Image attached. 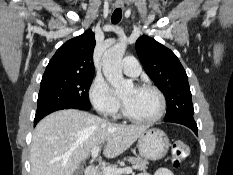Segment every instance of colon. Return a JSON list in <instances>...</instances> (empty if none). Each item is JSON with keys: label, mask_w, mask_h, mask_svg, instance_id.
Masks as SVG:
<instances>
[{"label": "colon", "mask_w": 233, "mask_h": 175, "mask_svg": "<svg viewBox=\"0 0 233 175\" xmlns=\"http://www.w3.org/2000/svg\"><path fill=\"white\" fill-rule=\"evenodd\" d=\"M189 145L181 140L174 141L172 144V161L175 167H179L183 159L189 154Z\"/></svg>", "instance_id": "obj_1"}]
</instances>
